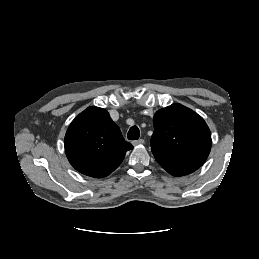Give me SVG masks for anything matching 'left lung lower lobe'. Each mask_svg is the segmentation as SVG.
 <instances>
[{
    "label": "left lung lower lobe",
    "instance_id": "1",
    "mask_svg": "<svg viewBox=\"0 0 259 259\" xmlns=\"http://www.w3.org/2000/svg\"><path fill=\"white\" fill-rule=\"evenodd\" d=\"M169 174L173 176H183L190 174L197 170L199 167L192 165H175L164 162H158Z\"/></svg>",
    "mask_w": 259,
    "mask_h": 259
}]
</instances>
